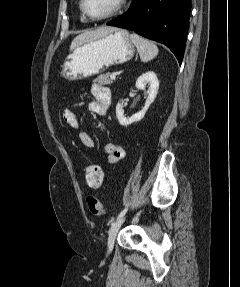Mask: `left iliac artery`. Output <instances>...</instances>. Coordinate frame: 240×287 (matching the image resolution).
Listing matches in <instances>:
<instances>
[{
	"mask_svg": "<svg viewBox=\"0 0 240 287\" xmlns=\"http://www.w3.org/2000/svg\"><path fill=\"white\" fill-rule=\"evenodd\" d=\"M127 209H128L127 207H126L125 209H123V210L120 212V214L118 215L117 219L123 217V216L125 215V213L127 212Z\"/></svg>",
	"mask_w": 240,
	"mask_h": 287,
	"instance_id": "obj_1",
	"label": "left iliac artery"
}]
</instances>
